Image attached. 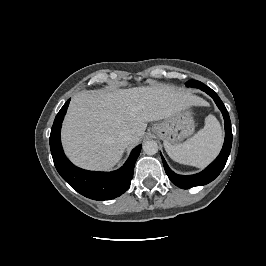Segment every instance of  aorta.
<instances>
[{"label":"aorta","mask_w":266,"mask_h":266,"mask_svg":"<svg viewBox=\"0 0 266 266\" xmlns=\"http://www.w3.org/2000/svg\"><path fill=\"white\" fill-rule=\"evenodd\" d=\"M143 151L147 155H154L158 152V144L154 140H148L143 144Z\"/></svg>","instance_id":"1"}]
</instances>
